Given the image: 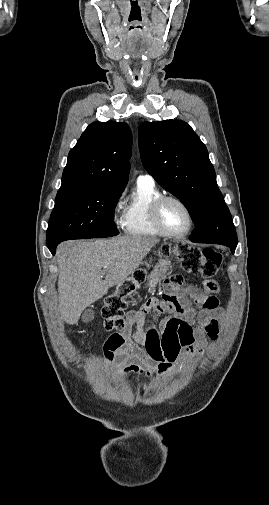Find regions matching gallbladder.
I'll return each instance as SVG.
<instances>
[{
	"instance_id": "bac80fb5",
	"label": "gallbladder",
	"mask_w": 269,
	"mask_h": 505,
	"mask_svg": "<svg viewBox=\"0 0 269 505\" xmlns=\"http://www.w3.org/2000/svg\"><path fill=\"white\" fill-rule=\"evenodd\" d=\"M94 311L92 309H86L82 315V320L84 322H90L94 319Z\"/></svg>"
}]
</instances>
